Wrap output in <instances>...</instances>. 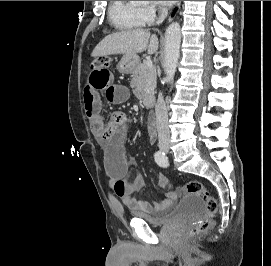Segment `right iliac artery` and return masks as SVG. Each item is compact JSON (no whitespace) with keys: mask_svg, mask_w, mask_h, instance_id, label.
Instances as JSON below:
<instances>
[{"mask_svg":"<svg viewBox=\"0 0 271 266\" xmlns=\"http://www.w3.org/2000/svg\"><path fill=\"white\" fill-rule=\"evenodd\" d=\"M155 161L161 167H167L169 165L168 158L164 152L157 151L155 153Z\"/></svg>","mask_w":271,"mask_h":266,"instance_id":"1","label":"right iliac artery"}]
</instances>
